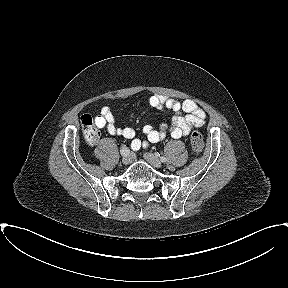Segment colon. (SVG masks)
Instances as JSON below:
<instances>
[{"mask_svg":"<svg viewBox=\"0 0 288 288\" xmlns=\"http://www.w3.org/2000/svg\"><path fill=\"white\" fill-rule=\"evenodd\" d=\"M81 125H82V130H83V135H84L85 140L89 144L96 143L99 139L100 133L96 127V124L93 118L88 114L83 115L81 117ZM190 143H191L192 150L196 154H200L202 152L204 148V141L200 132L194 131L191 134Z\"/></svg>","mask_w":288,"mask_h":288,"instance_id":"obj_1","label":"colon"}]
</instances>
